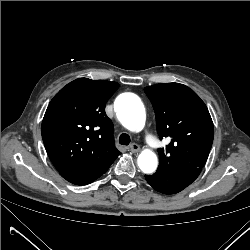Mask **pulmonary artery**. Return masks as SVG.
<instances>
[{
    "label": "pulmonary artery",
    "instance_id": "e3ab8cb5",
    "mask_svg": "<svg viewBox=\"0 0 250 250\" xmlns=\"http://www.w3.org/2000/svg\"><path fill=\"white\" fill-rule=\"evenodd\" d=\"M146 143L152 150H157L160 148L158 141L150 134H147L146 136Z\"/></svg>",
    "mask_w": 250,
    "mask_h": 250
}]
</instances>
